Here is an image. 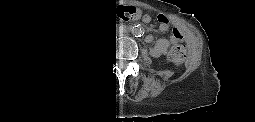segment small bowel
Masks as SVG:
<instances>
[{
	"label": "small bowel",
	"mask_w": 255,
	"mask_h": 122,
	"mask_svg": "<svg viewBox=\"0 0 255 122\" xmlns=\"http://www.w3.org/2000/svg\"><path fill=\"white\" fill-rule=\"evenodd\" d=\"M165 28H166V25L163 24L162 29H165ZM178 35H179L178 39L181 41L182 36L179 32H178ZM153 40H154L153 36L148 37V42H152ZM175 40H177V38L174 35H171V37L169 39L161 40L156 45L151 46L150 52L155 56H160L161 54H163L166 51L168 45Z\"/></svg>",
	"instance_id": "obj_1"
}]
</instances>
